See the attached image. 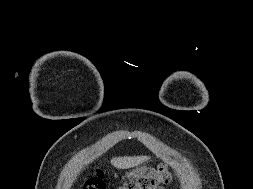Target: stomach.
Returning a JSON list of instances; mask_svg holds the SVG:
<instances>
[{
    "instance_id": "1",
    "label": "stomach",
    "mask_w": 253,
    "mask_h": 189,
    "mask_svg": "<svg viewBox=\"0 0 253 189\" xmlns=\"http://www.w3.org/2000/svg\"><path fill=\"white\" fill-rule=\"evenodd\" d=\"M147 171L146 167H140V168H136L135 170L127 173V177L129 179H133V178H137L139 177L141 174L145 173Z\"/></svg>"
}]
</instances>
